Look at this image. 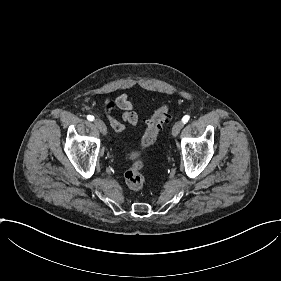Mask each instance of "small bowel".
<instances>
[{
    "mask_svg": "<svg viewBox=\"0 0 281 281\" xmlns=\"http://www.w3.org/2000/svg\"><path fill=\"white\" fill-rule=\"evenodd\" d=\"M101 108L108 113V123L117 132H123L126 129L124 122L132 126L138 123V115L130 100L124 95L106 99Z\"/></svg>",
    "mask_w": 281,
    "mask_h": 281,
    "instance_id": "obj_1",
    "label": "small bowel"
}]
</instances>
